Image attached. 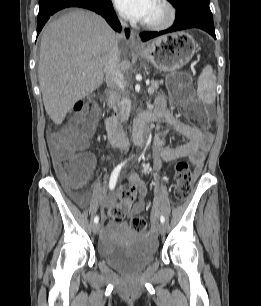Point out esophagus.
Returning <instances> with one entry per match:
<instances>
[{
    "label": "esophagus",
    "mask_w": 261,
    "mask_h": 306,
    "mask_svg": "<svg viewBox=\"0 0 261 306\" xmlns=\"http://www.w3.org/2000/svg\"><path fill=\"white\" fill-rule=\"evenodd\" d=\"M130 46H131V48H133L135 50H139L143 47V45H142V43L139 39V35L136 31H131Z\"/></svg>",
    "instance_id": "obj_1"
}]
</instances>
